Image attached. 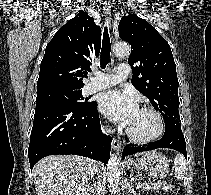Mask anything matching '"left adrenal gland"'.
<instances>
[{"instance_id": "1", "label": "left adrenal gland", "mask_w": 211, "mask_h": 195, "mask_svg": "<svg viewBox=\"0 0 211 195\" xmlns=\"http://www.w3.org/2000/svg\"><path fill=\"white\" fill-rule=\"evenodd\" d=\"M126 190L129 193H133V195H137L136 191L134 190L133 186H132V180H126V186H125Z\"/></svg>"}]
</instances>
